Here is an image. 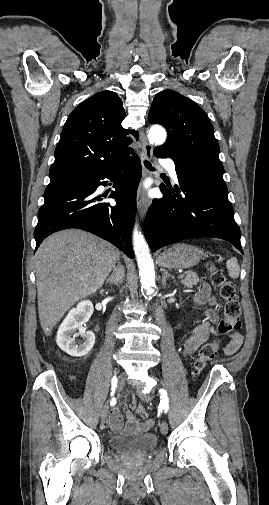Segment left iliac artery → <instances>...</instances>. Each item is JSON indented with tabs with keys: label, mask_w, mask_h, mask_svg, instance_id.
Returning <instances> with one entry per match:
<instances>
[{
	"label": "left iliac artery",
	"mask_w": 269,
	"mask_h": 505,
	"mask_svg": "<svg viewBox=\"0 0 269 505\" xmlns=\"http://www.w3.org/2000/svg\"><path fill=\"white\" fill-rule=\"evenodd\" d=\"M160 393V405L159 408L163 410L165 413H167L169 409V399L167 392L164 389L159 390Z\"/></svg>",
	"instance_id": "left-iliac-artery-1"
}]
</instances>
